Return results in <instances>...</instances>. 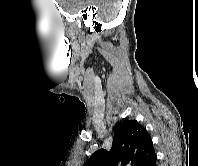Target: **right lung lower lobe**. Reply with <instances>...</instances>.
<instances>
[{
	"label": "right lung lower lobe",
	"mask_w": 198,
	"mask_h": 166,
	"mask_svg": "<svg viewBox=\"0 0 198 166\" xmlns=\"http://www.w3.org/2000/svg\"><path fill=\"white\" fill-rule=\"evenodd\" d=\"M157 156L156 154L148 161L145 166H156Z\"/></svg>",
	"instance_id": "right-lung-lower-lobe-1"
}]
</instances>
